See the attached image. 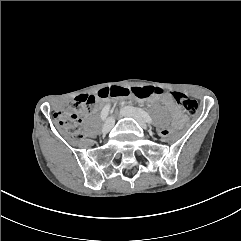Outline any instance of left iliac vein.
Segmentation results:
<instances>
[{"label":"left iliac vein","mask_w":241,"mask_h":241,"mask_svg":"<svg viewBox=\"0 0 241 241\" xmlns=\"http://www.w3.org/2000/svg\"><path fill=\"white\" fill-rule=\"evenodd\" d=\"M120 113L122 116L135 119L143 129L146 130L148 128L144 118L137 109L130 106H126L121 109Z\"/></svg>","instance_id":"obj_1"}]
</instances>
